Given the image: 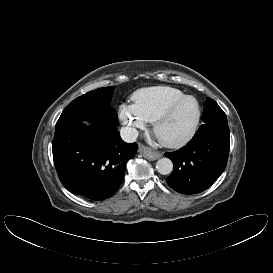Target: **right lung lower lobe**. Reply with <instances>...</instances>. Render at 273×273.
Returning a JSON list of instances; mask_svg holds the SVG:
<instances>
[{
	"label": "right lung lower lobe",
	"mask_w": 273,
	"mask_h": 273,
	"mask_svg": "<svg viewBox=\"0 0 273 273\" xmlns=\"http://www.w3.org/2000/svg\"><path fill=\"white\" fill-rule=\"evenodd\" d=\"M52 151L64 187L99 201L118 190L137 144L125 143L117 126L91 123L87 127L76 121L55 129Z\"/></svg>",
	"instance_id": "obj_1"
}]
</instances>
